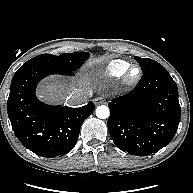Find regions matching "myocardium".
<instances>
[{
  "instance_id": "myocardium-1",
  "label": "myocardium",
  "mask_w": 193,
  "mask_h": 193,
  "mask_svg": "<svg viewBox=\"0 0 193 193\" xmlns=\"http://www.w3.org/2000/svg\"><path fill=\"white\" fill-rule=\"evenodd\" d=\"M137 71V73L134 75L133 72ZM141 69L136 65H131L127 68V70L124 72L122 81L125 86H134L138 83V81L141 78Z\"/></svg>"
}]
</instances>
